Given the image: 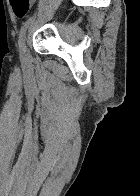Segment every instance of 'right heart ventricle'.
Listing matches in <instances>:
<instances>
[{
    "label": "right heart ventricle",
    "instance_id": "right-heart-ventricle-1",
    "mask_svg": "<svg viewBox=\"0 0 140 196\" xmlns=\"http://www.w3.org/2000/svg\"><path fill=\"white\" fill-rule=\"evenodd\" d=\"M24 192H36V191H24Z\"/></svg>",
    "mask_w": 140,
    "mask_h": 196
}]
</instances>
